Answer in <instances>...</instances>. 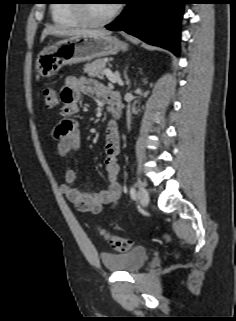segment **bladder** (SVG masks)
Here are the masks:
<instances>
[{"label":"bladder","instance_id":"bladder-1","mask_svg":"<svg viewBox=\"0 0 236 321\" xmlns=\"http://www.w3.org/2000/svg\"><path fill=\"white\" fill-rule=\"evenodd\" d=\"M148 257L145 247H136L124 253H103L101 260L108 271L134 273L145 265Z\"/></svg>","mask_w":236,"mask_h":321}]
</instances>
